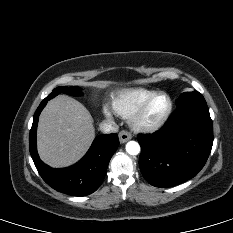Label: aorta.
Listing matches in <instances>:
<instances>
[{
	"label": "aorta",
	"mask_w": 233,
	"mask_h": 233,
	"mask_svg": "<svg viewBox=\"0 0 233 233\" xmlns=\"http://www.w3.org/2000/svg\"><path fill=\"white\" fill-rule=\"evenodd\" d=\"M125 149H126V152L130 155H137L140 153V145L136 141H129L126 144Z\"/></svg>",
	"instance_id": "762f6f07"
}]
</instances>
